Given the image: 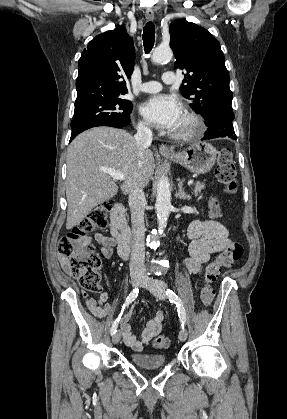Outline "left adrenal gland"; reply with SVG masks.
Segmentation results:
<instances>
[{
    "mask_svg": "<svg viewBox=\"0 0 287 419\" xmlns=\"http://www.w3.org/2000/svg\"><path fill=\"white\" fill-rule=\"evenodd\" d=\"M176 198H180L182 200H190L191 197L187 193L184 192L183 189V181L178 183V192L175 194Z\"/></svg>",
    "mask_w": 287,
    "mask_h": 419,
    "instance_id": "a2214340",
    "label": "left adrenal gland"
}]
</instances>
